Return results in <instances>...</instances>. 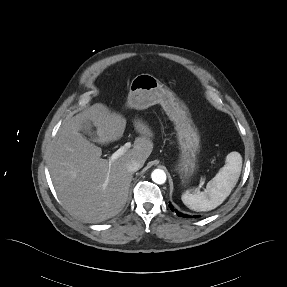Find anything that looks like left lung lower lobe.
<instances>
[{"label": "left lung lower lobe", "mask_w": 287, "mask_h": 287, "mask_svg": "<svg viewBox=\"0 0 287 287\" xmlns=\"http://www.w3.org/2000/svg\"><path fill=\"white\" fill-rule=\"evenodd\" d=\"M169 207H170V209H171L172 211H175L178 216H182V217H186V218H187V217H189V218L191 217V216H188V215L183 214V213H181V212H178L176 209L173 208V206H172L171 204L169 205ZM195 217L197 218L198 216H195Z\"/></svg>", "instance_id": "0a47b994"}]
</instances>
